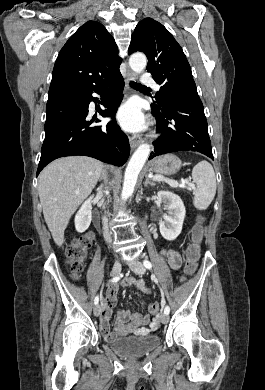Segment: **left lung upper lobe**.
I'll use <instances>...</instances> for the list:
<instances>
[{"mask_svg": "<svg viewBox=\"0 0 265 390\" xmlns=\"http://www.w3.org/2000/svg\"><path fill=\"white\" fill-rule=\"evenodd\" d=\"M142 51L148 58L147 71L161 85L152 105L162 106L166 94L197 92L186 56L169 31L159 22L146 18L132 34L128 53Z\"/></svg>", "mask_w": 265, "mask_h": 390, "instance_id": "1", "label": "left lung upper lobe"}]
</instances>
